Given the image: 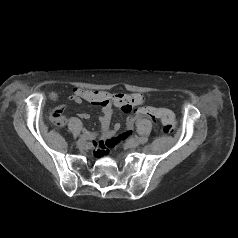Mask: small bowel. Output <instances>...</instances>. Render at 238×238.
I'll list each match as a JSON object with an SVG mask.
<instances>
[{
    "label": "small bowel",
    "instance_id": "small-bowel-1",
    "mask_svg": "<svg viewBox=\"0 0 238 238\" xmlns=\"http://www.w3.org/2000/svg\"><path fill=\"white\" fill-rule=\"evenodd\" d=\"M69 100L77 104H81L83 101L89 102L93 105L101 107L102 115L100 117V124L102 134L105 137L114 136L120 129V125L116 124L112 129H110V122L113 113V103L115 106L121 108L124 112H130L133 107L141 105L143 103V96L141 94H109L101 90H87L82 88H74L72 95L69 96ZM59 111V117L57 120L54 118V113ZM63 106H59L52 112L53 122L62 127L66 124L67 119L63 115ZM82 119H88L89 115L87 113L79 114ZM135 118L130 117L127 119V128L131 129L133 127Z\"/></svg>",
    "mask_w": 238,
    "mask_h": 238
}]
</instances>
